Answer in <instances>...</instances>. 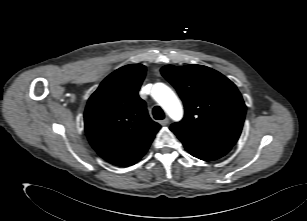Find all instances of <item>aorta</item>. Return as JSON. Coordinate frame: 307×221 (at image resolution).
<instances>
[{"label": "aorta", "instance_id": "762f6f07", "mask_svg": "<svg viewBox=\"0 0 307 221\" xmlns=\"http://www.w3.org/2000/svg\"><path fill=\"white\" fill-rule=\"evenodd\" d=\"M152 96L173 120L178 121L182 118V105L168 86L162 83L155 84L152 89Z\"/></svg>", "mask_w": 307, "mask_h": 221}]
</instances>
